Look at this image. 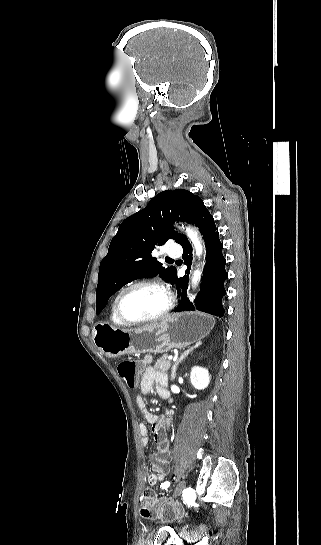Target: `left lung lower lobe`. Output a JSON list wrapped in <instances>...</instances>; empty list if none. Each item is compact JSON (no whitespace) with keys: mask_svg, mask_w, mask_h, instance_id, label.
Segmentation results:
<instances>
[{"mask_svg":"<svg viewBox=\"0 0 321 545\" xmlns=\"http://www.w3.org/2000/svg\"><path fill=\"white\" fill-rule=\"evenodd\" d=\"M190 223L199 227L206 246V264L203 271L201 291L198 293L194 304L186 297L188 287V275L178 277L177 273L172 279L181 290V300L174 309L175 312L200 310L218 317L224 316L222 298L226 294L224 282L228 278L225 270L226 259L222 254L223 245L219 239V232L216 229L213 216L204 204L198 206L193 214ZM183 247L184 263L188 266L186 274L189 273L192 261V246L186 236L179 243Z\"/></svg>","mask_w":321,"mask_h":545,"instance_id":"obj_1","label":"left lung lower lobe"}]
</instances>
